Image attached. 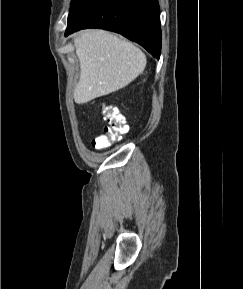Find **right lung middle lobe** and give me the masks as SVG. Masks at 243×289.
Wrapping results in <instances>:
<instances>
[{
	"instance_id": "obj_1",
	"label": "right lung middle lobe",
	"mask_w": 243,
	"mask_h": 289,
	"mask_svg": "<svg viewBox=\"0 0 243 289\" xmlns=\"http://www.w3.org/2000/svg\"><path fill=\"white\" fill-rule=\"evenodd\" d=\"M80 1L81 0H72L69 15L72 14L75 11V9L79 5Z\"/></svg>"
}]
</instances>
